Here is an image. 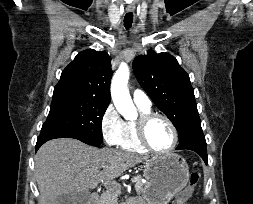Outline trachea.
Segmentation results:
<instances>
[{"mask_svg":"<svg viewBox=\"0 0 253 204\" xmlns=\"http://www.w3.org/2000/svg\"><path fill=\"white\" fill-rule=\"evenodd\" d=\"M133 23V14L132 12H128L126 13L125 17H124V26L126 29L131 28Z\"/></svg>","mask_w":253,"mask_h":204,"instance_id":"trachea-1","label":"trachea"}]
</instances>
